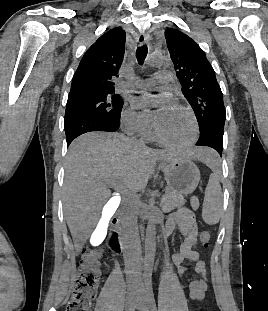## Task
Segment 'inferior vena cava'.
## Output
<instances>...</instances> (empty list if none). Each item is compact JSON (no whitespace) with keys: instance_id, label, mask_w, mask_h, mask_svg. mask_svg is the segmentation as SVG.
Masks as SVG:
<instances>
[{"instance_id":"obj_1","label":"inferior vena cava","mask_w":268,"mask_h":311,"mask_svg":"<svg viewBox=\"0 0 268 311\" xmlns=\"http://www.w3.org/2000/svg\"><path fill=\"white\" fill-rule=\"evenodd\" d=\"M134 194H130V199L126 203V207L123 212V233H124V246L126 251L124 253L125 267L129 271V287L136 288L140 277L141 267V252L139 248V233L137 225V214L133 207ZM133 268V272H131Z\"/></svg>"}]
</instances>
